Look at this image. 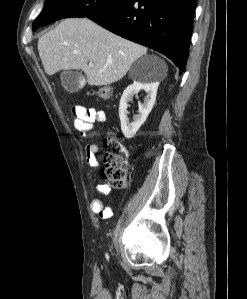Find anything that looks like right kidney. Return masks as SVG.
<instances>
[{"instance_id": "1", "label": "right kidney", "mask_w": 247, "mask_h": 299, "mask_svg": "<svg viewBox=\"0 0 247 299\" xmlns=\"http://www.w3.org/2000/svg\"><path fill=\"white\" fill-rule=\"evenodd\" d=\"M158 85V83L134 82L123 92L119 105V117L121 130L125 138L130 139L135 136L141 125L146 121L155 104ZM140 90L146 91L147 96L144 99V104L139 103V114L134 117L133 122H130L127 118V103L131 101L133 96L138 94Z\"/></svg>"}]
</instances>
